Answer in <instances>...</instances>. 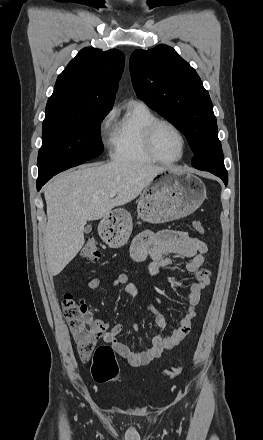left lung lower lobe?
Here are the masks:
<instances>
[{
    "mask_svg": "<svg viewBox=\"0 0 263 440\" xmlns=\"http://www.w3.org/2000/svg\"><path fill=\"white\" fill-rule=\"evenodd\" d=\"M211 173H213L214 175L220 177L223 182L225 183V185H227L228 183V174L227 172H218V171H209Z\"/></svg>",
    "mask_w": 263,
    "mask_h": 440,
    "instance_id": "left-lung-lower-lobe-1",
    "label": "left lung lower lobe"
}]
</instances>
